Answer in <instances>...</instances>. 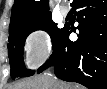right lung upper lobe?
<instances>
[{
	"mask_svg": "<svg viewBox=\"0 0 107 89\" xmlns=\"http://www.w3.org/2000/svg\"><path fill=\"white\" fill-rule=\"evenodd\" d=\"M48 17H51L48 0H15L9 28Z\"/></svg>",
	"mask_w": 107,
	"mask_h": 89,
	"instance_id": "cb5924a9",
	"label": "right lung upper lobe"
}]
</instances>
